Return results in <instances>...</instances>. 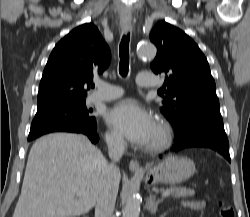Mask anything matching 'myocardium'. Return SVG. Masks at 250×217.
Returning <instances> with one entry per match:
<instances>
[{
	"label": "myocardium",
	"instance_id": "1",
	"mask_svg": "<svg viewBox=\"0 0 250 217\" xmlns=\"http://www.w3.org/2000/svg\"><path fill=\"white\" fill-rule=\"evenodd\" d=\"M158 129L157 140L146 146V151L149 153H158L165 150L171 143L172 130L170 125L163 119H158L156 123Z\"/></svg>",
	"mask_w": 250,
	"mask_h": 217
}]
</instances>
